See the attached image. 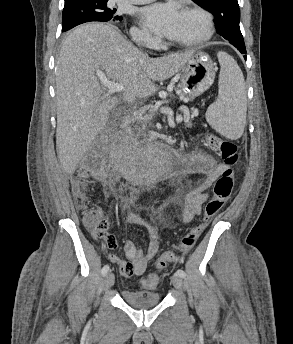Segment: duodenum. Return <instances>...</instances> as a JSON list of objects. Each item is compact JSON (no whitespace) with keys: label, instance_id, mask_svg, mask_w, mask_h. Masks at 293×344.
Wrapping results in <instances>:
<instances>
[{"label":"duodenum","instance_id":"410a0bca","mask_svg":"<svg viewBox=\"0 0 293 344\" xmlns=\"http://www.w3.org/2000/svg\"><path fill=\"white\" fill-rule=\"evenodd\" d=\"M123 123L125 125H128L129 124V120H125ZM112 153H113V160L116 161L117 148H113ZM184 159L185 158H183V157H180L179 161H178V159H175L174 163L176 164L177 170H180L182 162H183Z\"/></svg>","mask_w":293,"mask_h":344}]
</instances>
